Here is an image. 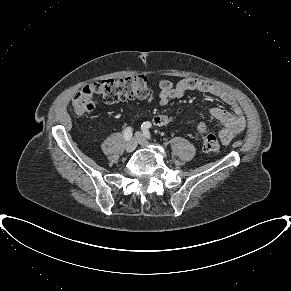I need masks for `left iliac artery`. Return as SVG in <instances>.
Segmentation results:
<instances>
[{"instance_id": "44dca946", "label": "left iliac artery", "mask_w": 291, "mask_h": 291, "mask_svg": "<svg viewBox=\"0 0 291 291\" xmlns=\"http://www.w3.org/2000/svg\"><path fill=\"white\" fill-rule=\"evenodd\" d=\"M151 123L150 122H144L142 125H141V129L143 131V134L144 136L147 138V139H151V135H150V131L149 129L151 128Z\"/></svg>"}]
</instances>
